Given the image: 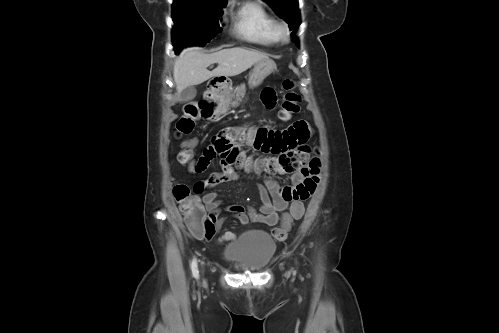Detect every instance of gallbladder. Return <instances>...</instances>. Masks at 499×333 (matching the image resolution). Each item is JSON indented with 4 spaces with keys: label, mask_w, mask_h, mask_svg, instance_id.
Listing matches in <instances>:
<instances>
[{
    "label": "gallbladder",
    "mask_w": 499,
    "mask_h": 333,
    "mask_svg": "<svg viewBox=\"0 0 499 333\" xmlns=\"http://www.w3.org/2000/svg\"><path fill=\"white\" fill-rule=\"evenodd\" d=\"M195 94L196 90L193 87H188L182 92L183 97H185L187 100L193 99L195 97Z\"/></svg>",
    "instance_id": "obj_1"
}]
</instances>
